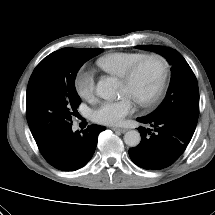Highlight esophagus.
<instances>
[{"instance_id": "1", "label": "esophagus", "mask_w": 215, "mask_h": 215, "mask_svg": "<svg viewBox=\"0 0 215 215\" xmlns=\"http://www.w3.org/2000/svg\"><path fill=\"white\" fill-rule=\"evenodd\" d=\"M112 129H113L114 131H119V132H121V133H125V132L127 131L126 128L113 127Z\"/></svg>"}]
</instances>
